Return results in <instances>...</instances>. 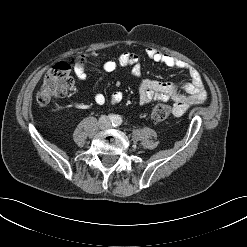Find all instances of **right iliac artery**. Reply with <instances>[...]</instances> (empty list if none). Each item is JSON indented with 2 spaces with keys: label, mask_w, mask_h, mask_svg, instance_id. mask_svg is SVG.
<instances>
[{
  "label": "right iliac artery",
  "mask_w": 247,
  "mask_h": 247,
  "mask_svg": "<svg viewBox=\"0 0 247 247\" xmlns=\"http://www.w3.org/2000/svg\"><path fill=\"white\" fill-rule=\"evenodd\" d=\"M109 119H110L112 122H115L116 117H115L114 115H109Z\"/></svg>",
  "instance_id": "right-iliac-artery-1"
}]
</instances>
